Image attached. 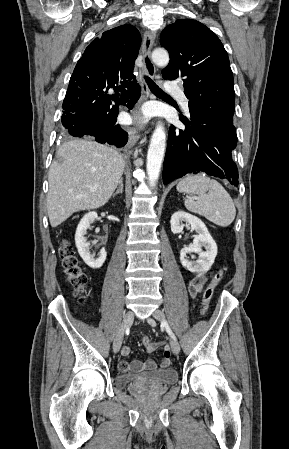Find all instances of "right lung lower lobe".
I'll return each instance as SVG.
<instances>
[{
    "mask_svg": "<svg viewBox=\"0 0 289 449\" xmlns=\"http://www.w3.org/2000/svg\"><path fill=\"white\" fill-rule=\"evenodd\" d=\"M127 88L121 95V105L132 109L140 97V87L136 80L120 85ZM115 86L103 82L84 81L71 76L63 101L62 125L66 136H94L99 143L124 146L128 133L116 122L119 102L112 104L106 95Z\"/></svg>",
    "mask_w": 289,
    "mask_h": 449,
    "instance_id": "1",
    "label": "right lung lower lobe"
}]
</instances>
